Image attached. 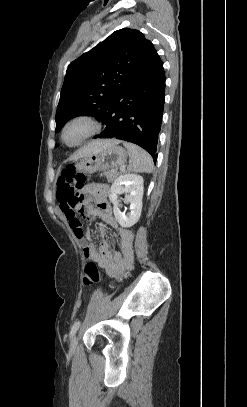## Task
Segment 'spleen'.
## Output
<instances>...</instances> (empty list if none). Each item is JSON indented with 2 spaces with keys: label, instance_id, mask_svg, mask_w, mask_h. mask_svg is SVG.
I'll list each match as a JSON object with an SVG mask.
<instances>
[{
  "label": "spleen",
  "instance_id": "spleen-1",
  "mask_svg": "<svg viewBox=\"0 0 247 407\" xmlns=\"http://www.w3.org/2000/svg\"><path fill=\"white\" fill-rule=\"evenodd\" d=\"M123 145L127 148L130 157L128 171L135 173H151L153 171L152 158L144 149L129 142H124Z\"/></svg>",
  "mask_w": 247,
  "mask_h": 407
}]
</instances>
